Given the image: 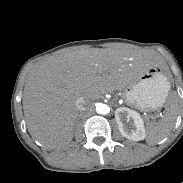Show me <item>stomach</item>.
<instances>
[{"label":"stomach","mask_w":183,"mask_h":183,"mask_svg":"<svg viewBox=\"0 0 183 183\" xmlns=\"http://www.w3.org/2000/svg\"><path fill=\"white\" fill-rule=\"evenodd\" d=\"M169 91L167 76L151 66L132 78L124 88L123 96L141 110H156L166 102Z\"/></svg>","instance_id":"1"}]
</instances>
